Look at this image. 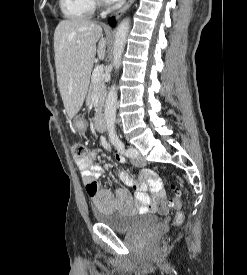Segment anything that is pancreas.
I'll list each match as a JSON object with an SVG mask.
<instances>
[{"label":"pancreas","mask_w":247,"mask_h":275,"mask_svg":"<svg viewBox=\"0 0 247 275\" xmlns=\"http://www.w3.org/2000/svg\"><path fill=\"white\" fill-rule=\"evenodd\" d=\"M95 96L98 98V106L96 109V114L98 117L104 106L105 97H106V87L103 79H100L99 81H94V80L91 81L87 98H86V103L88 105L92 104L93 98Z\"/></svg>","instance_id":"1"}]
</instances>
